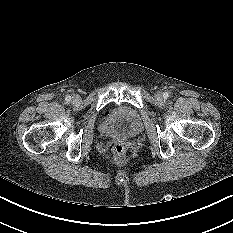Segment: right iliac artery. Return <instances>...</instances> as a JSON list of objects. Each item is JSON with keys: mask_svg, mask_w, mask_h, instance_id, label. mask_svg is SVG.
I'll list each match as a JSON object with an SVG mask.
<instances>
[{"mask_svg": "<svg viewBox=\"0 0 233 233\" xmlns=\"http://www.w3.org/2000/svg\"><path fill=\"white\" fill-rule=\"evenodd\" d=\"M65 100L68 102L71 100V96H66Z\"/></svg>", "mask_w": 233, "mask_h": 233, "instance_id": "obj_1", "label": "right iliac artery"}]
</instances>
